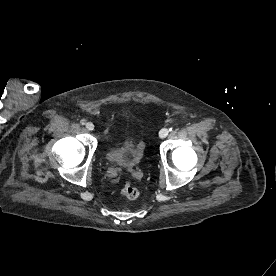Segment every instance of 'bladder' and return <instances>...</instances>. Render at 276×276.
I'll return each instance as SVG.
<instances>
[{"mask_svg":"<svg viewBox=\"0 0 276 276\" xmlns=\"http://www.w3.org/2000/svg\"><path fill=\"white\" fill-rule=\"evenodd\" d=\"M144 147L142 143L125 138L119 145L110 148L106 154L108 161L125 168H134L142 160Z\"/></svg>","mask_w":276,"mask_h":276,"instance_id":"obj_1","label":"bladder"}]
</instances>
